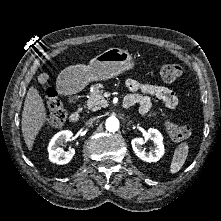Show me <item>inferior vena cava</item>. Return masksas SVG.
<instances>
[{
	"label": "inferior vena cava",
	"mask_w": 221,
	"mask_h": 221,
	"mask_svg": "<svg viewBox=\"0 0 221 221\" xmlns=\"http://www.w3.org/2000/svg\"><path fill=\"white\" fill-rule=\"evenodd\" d=\"M94 120H95V118H91V119L88 120L87 123L90 124V123H92Z\"/></svg>",
	"instance_id": "inferior-vena-cava-1"
}]
</instances>
